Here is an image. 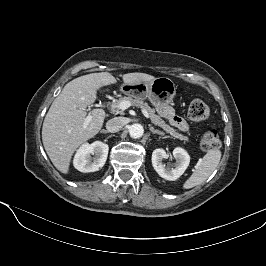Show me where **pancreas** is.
<instances>
[{
	"mask_svg": "<svg viewBox=\"0 0 266 266\" xmlns=\"http://www.w3.org/2000/svg\"><path fill=\"white\" fill-rule=\"evenodd\" d=\"M122 101H129L131 106H135L141 109L146 110L149 113L150 119L152 121V123H154L155 125H158L159 127H161L163 130H165L167 133H169L170 135H172L173 137L183 141L184 143L188 142V137L184 136L183 134L177 132L176 129L170 127L168 124H166L160 116H158L155 113V109L151 108L146 102H143L141 100L138 99H133L132 97H122L119 98L118 100H115L114 102H112L111 104V111L113 113H120L122 114L121 109L119 108V104Z\"/></svg>",
	"mask_w": 266,
	"mask_h": 266,
	"instance_id": "obj_1",
	"label": "pancreas"
}]
</instances>
